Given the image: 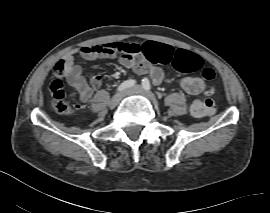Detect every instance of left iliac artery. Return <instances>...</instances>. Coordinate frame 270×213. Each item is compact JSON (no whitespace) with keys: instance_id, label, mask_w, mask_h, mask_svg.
<instances>
[{"instance_id":"1","label":"left iliac artery","mask_w":270,"mask_h":213,"mask_svg":"<svg viewBox=\"0 0 270 213\" xmlns=\"http://www.w3.org/2000/svg\"><path fill=\"white\" fill-rule=\"evenodd\" d=\"M142 86L145 90H151V84L148 78L145 77L144 79H142Z\"/></svg>"}]
</instances>
